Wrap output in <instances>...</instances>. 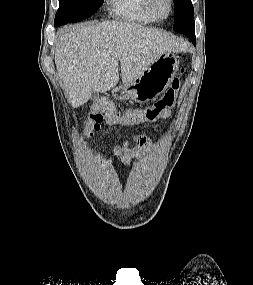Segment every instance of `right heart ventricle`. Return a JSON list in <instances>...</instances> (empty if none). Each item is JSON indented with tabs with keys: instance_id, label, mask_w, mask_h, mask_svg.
<instances>
[{
	"instance_id": "e07e8e85",
	"label": "right heart ventricle",
	"mask_w": 253,
	"mask_h": 285,
	"mask_svg": "<svg viewBox=\"0 0 253 285\" xmlns=\"http://www.w3.org/2000/svg\"><path fill=\"white\" fill-rule=\"evenodd\" d=\"M113 12L128 21L148 24L155 20L146 10L145 0H112Z\"/></svg>"
}]
</instances>
